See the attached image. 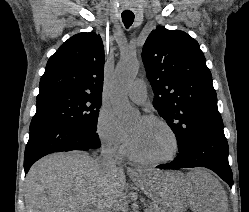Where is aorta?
Here are the masks:
<instances>
[{
    "label": "aorta",
    "mask_w": 249,
    "mask_h": 212,
    "mask_svg": "<svg viewBox=\"0 0 249 212\" xmlns=\"http://www.w3.org/2000/svg\"><path fill=\"white\" fill-rule=\"evenodd\" d=\"M139 70V62L134 59L120 61L115 69L110 100L115 114L121 121H128L137 115L128 101L127 89L135 80Z\"/></svg>",
    "instance_id": "obj_1"
}]
</instances>
